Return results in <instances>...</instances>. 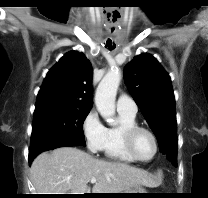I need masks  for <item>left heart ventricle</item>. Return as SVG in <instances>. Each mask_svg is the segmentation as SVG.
<instances>
[{
  "instance_id": "left-heart-ventricle-1",
  "label": "left heart ventricle",
  "mask_w": 208,
  "mask_h": 198,
  "mask_svg": "<svg viewBox=\"0 0 208 198\" xmlns=\"http://www.w3.org/2000/svg\"><path fill=\"white\" fill-rule=\"evenodd\" d=\"M134 147L137 154L144 159L152 157L155 151V144L152 137L144 131L137 133L134 139Z\"/></svg>"
}]
</instances>
